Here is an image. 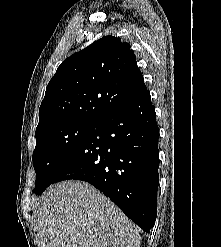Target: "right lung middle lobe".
<instances>
[{
    "label": "right lung middle lobe",
    "mask_w": 221,
    "mask_h": 247,
    "mask_svg": "<svg viewBox=\"0 0 221 247\" xmlns=\"http://www.w3.org/2000/svg\"><path fill=\"white\" fill-rule=\"evenodd\" d=\"M97 124L71 122L36 134L33 166L36 172L34 193L40 195L79 146L92 134Z\"/></svg>",
    "instance_id": "dd1d6c3e"
}]
</instances>
